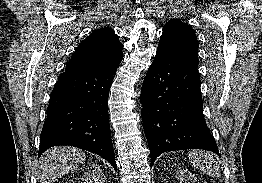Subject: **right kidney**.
I'll return each instance as SVG.
<instances>
[{"instance_id":"1","label":"right kidney","mask_w":262,"mask_h":183,"mask_svg":"<svg viewBox=\"0 0 262 183\" xmlns=\"http://www.w3.org/2000/svg\"><path fill=\"white\" fill-rule=\"evenodd\" d=\"M105 180L106 176L103 171L99 167H96L84 174L82 183H106Z\"/></svg>"}]
</instances>
